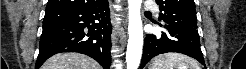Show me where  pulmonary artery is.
I'll return each mask as SVG.
<instances>
[{"label": "pulmonary artery", "mask_w": 246, "mask_h": 69, "mask_svg": "<svg viewBox=\"0 0 246 69\" xmlns=\"http://www.w3.org/2000/svg\"><path fill=\"white\" fill-rule=\"evenodd\" d=\"M147 6L150 7V8L153 7L154 6V2H148Z\"/></svg>", "instance_id": "obj_1"}]
</instances>
